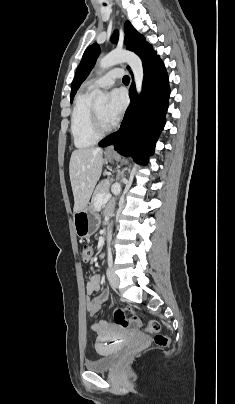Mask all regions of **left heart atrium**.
Wrapping results in <instances>:
<instances>
[{"label":"left heart atrium","instance_id":"1","mask_svg":"<svg viewBox=\"0 0 235 404\" xmlns=\"http://www.w3.org/2000/svg\"><path fill=\"white\" fill-rule=\"evenodd\" d=\"M126 96L123 91L115 89L110 92L104 116L109 124L116 123L126 108Z\"/></svg>","mask_w":235,"mask_h":404}]
</instances>
